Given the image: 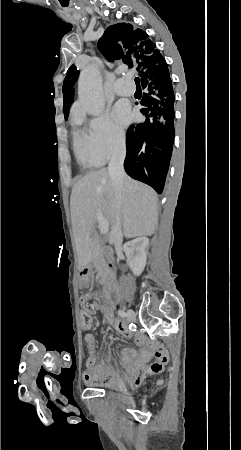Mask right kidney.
<instances>
[{"label":"right kidney","instance_id":"right-kidney-1","mask_svg":"<svg viewBox=\"0 0 241 450\" xmlns=\"http://www.w3.org/2000/svg\"><path fill=\"white\" fill-rule=\"evenodd\" d=\"M147 248H149L148 238H135L123 246V252L134 276H140L146 266Z\"/></svg>","mask_w":241,"mask_h":450}]
</instances>
